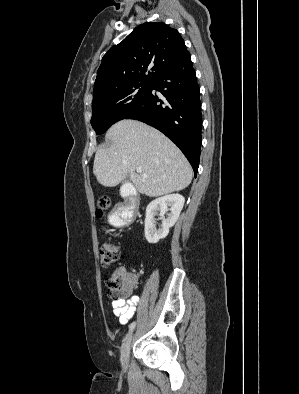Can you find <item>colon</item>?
<instances>
[{"instance_id":"1","label":"colon","mask_w":299,"mask_h":394,"mask_svg":"<svg viewBox=\"0 0 299 394\" xmlns=\"http://www.w3.org/2000/svg\"><path fill=\"white\" fill-rule=\"evenodd\" d=\"M98 215L102 216L104 210L111 206V200L108 197H102L98 202ZM119 258V248L112 242H105L99 247L100 263L104 267L111 266ZM107 287L115 300L125 301L131 298L134 278L125 268L116 270L107 280Z\"/></svg>"}]
</instances>
